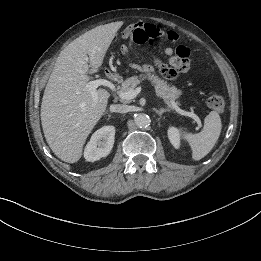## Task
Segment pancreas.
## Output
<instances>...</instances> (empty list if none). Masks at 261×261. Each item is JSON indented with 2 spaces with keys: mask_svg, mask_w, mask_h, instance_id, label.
I'll use <instances>...</instances> for the list:
<instances>
[{
  "mask_svg": "<svg viewBox=\"0 0 261 261\" xmlns=\"http://www.w3.org/2000/svg\"><path fill=\"white\" fill-rule=\"evenodd\" d=\"M139 78H148L151 83L154 85L156 93L158 96L163 98L165 102L170 105L172 102L178 104L176 100L179 98L181 91L178 90L175 86L169 85L166 81L160 79L157 75L146 73L138 76H133L127 78L121 85V91L126 92L129 90H133L140 83ZM125 102H128L127 100Z\"/></svg>",
  "mask_w": 261,
  "mask_h": 261,
  "instance_id": "cf45deb5",
  "label": "pancreas"
}]
</instances>
